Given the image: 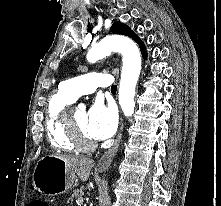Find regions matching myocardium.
Segmentation results:
<instances>
[{"label":"myocardium","mask_w":221,"mask_h":206,"mask_svg":"<svg viewBox=\"0 0 221 206\" xmlns=\"http://www.w3.org/2000/svg\"><path fill=\"white\" fill-rule=\"evenodd\" d=\"M66 124L70 136L77 147L81 151H91L96 147V142L86 137L79 129L71 112H66Z\"/></svg>","instance_id":"f54148a6"}]
</instances>
